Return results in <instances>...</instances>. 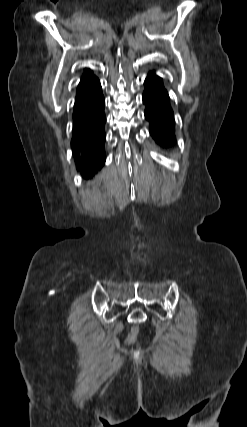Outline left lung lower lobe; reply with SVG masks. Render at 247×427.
I'll return each instance as SVG.
<instances>
[{"label":"left lung lower lobe","instance_id":"left-lung-lower-lobe-1","mask_svg":"<svg viewBox=\"0 0 247 427\" xmlns=\"http://www.w3.org/2000/svg\"><path fill=\"white\" fill-rule=\"evenodd\" d=\"M144 85L143 103L146 105L145 118L150 123V134L161 147H170L176 142V137L168 93L162 79L154 71L148 74Z\"/></svg>","mask_w":247,"mask_h":427}]
</instances>
